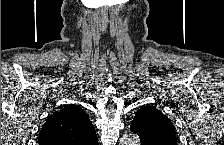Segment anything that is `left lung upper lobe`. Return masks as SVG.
Returning <instances> with one entry per match:
<instances>
[{
    "label": "left lung upper lobe",
    "instance_id": "1",
    "mask_svg": "<svg viewBox=\"0 0 224 145\" xmlns=\"http://www.w3.org/2000/svg\"><path fill=\"white\" fill-rule=\"evenodd\" d=\"M133 120L142 124V130L158 145H177L176 132L169 118L154 106H142Z\"/></svg>",
    "mask_w": 224,
    "mask_h": 145
}]
</instances>
